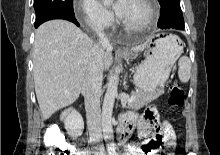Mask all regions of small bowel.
<instances>
[{
  "mask_svg": "<svg viewBox=\"0 0 220 155\" xmlns=\"http://www.w3.org/2000/svg\"><path fill=\"white\" fill-rule=\"evenodd\" d=\"M157 105H146V112L144 115H138L136 113H128L123 117V120L129 127V134L127 138L136 130L139 138L146 140L143 144L142 151L147 153H153L154 151L149 149L150 142L155 137H161L165 141L175 140V133L171 124L167 121H160L162 115L157 110ZM155 129V137L147 140L151 135V128ZM133 151H137L136 148H132Z\"/></svg>",
  "mask_w": 220,
  "mask_h": 155,
  "instance_id": "1",
  "label": "small bowel"
}]
</instances>
